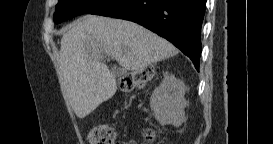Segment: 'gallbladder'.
<instances>
[{
    "label": "gallbladder",
    "mask_w": 273,
    "mask_h": 144,
    "mask_svg": "<svg viewBox=\"0 0 273 144\" xmlns=\"http://www.w3.org/2000/svg\"><path fill=\"white\" fill-rule=\"evenodd\" d=\"M112 68V72L110 73L112 76H123L124 75V70H122L121 68H116L114 65L111 67Z\"/></svg>",
    "instance_id": "obj_1"
}]
</instances>
